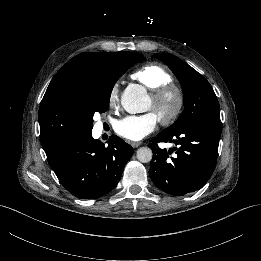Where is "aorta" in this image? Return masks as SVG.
Returning <instances> with one entry per match:
<instances>
[{"label": "aorta", "mask_w": 261, "mask_h": 261, "mask_svg": "<svg viewBox=\"0 0 261 261\" xmlns=\"http://www.w3.org/2000/svg\"><path fill=\"white\" fill-rule=\"evenodd\" d=\"M145 89L132 87L126 89L122 95V104L129 113L146 112L149 108L150 98L145 94ZM136 157L141 163H148L152 160L153 153L149 147H141L137 150Z\"/></svg>", "instance_id": "obj_1"}]
</instances>
